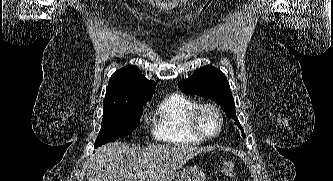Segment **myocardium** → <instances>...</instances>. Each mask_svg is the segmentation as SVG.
<instances>
[{
	"label": "myocardium",
	"mask_w": 333,
	"mask_h": 181,
	"mask_svg": "<svg viewBox=\"0 0 333 181\" xmlns=\"http://www.w3.org/2000/svg\"><path fill=\"white\" fill-rule=\"evenodd\" d=\"M205 111L212 112L218 120V130L215 134H212V135L206 134L200 126V116ZM189 123H190L191 130L202 139L216 138L217 136H219V134L221 133V131L223 129V117H222L221 112L219 111V109L216 106L209 104V103H203V104L197 105V107L193 110V112L190 115Z\"/></svg>",
	"instance_id": "f54148a6"
}]
</instances>
